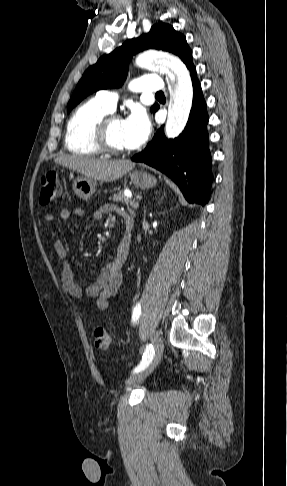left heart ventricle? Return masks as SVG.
I'll return each mask as SVG.
<instances>
[{"mask_svg": "<svg viewBox=\"0 0 287 486\" xmlns=\"http://www.w3.org/2000/svg\"><path fill=\"white\" fill-rule=\"evenodd\" d=\"M109 142L121 149H127L123 131V120L117 119L111 122L108 131Z\"/></svg>", "mask_w": 287, "mask_h": 486, "instance_id": "left-heart-ventricle-1", "label": "left heart ventricle"}]
</instances>
